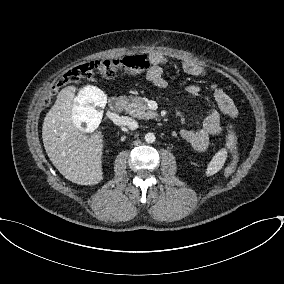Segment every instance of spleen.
Masks as SVG:
<instances>
[{
  "label": "spleen",
  "mask_w": 284,
  "mask_h": 284,
  "mask_svg": "<svg viewBox=\"0 0 284 284\" xmlns=\"http://www.w3.org/2000/svg\"><path fill=\"white\" fill-rule=\"evenodd\" d=\"M227 158V150L221 149L219 150L209 162L207 169H206V176H212L216 174L219 170L222 169L225 161Z\"/></svg>",
  "instance_id": "3e777b00"
}]
</instances>
